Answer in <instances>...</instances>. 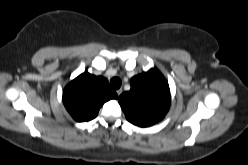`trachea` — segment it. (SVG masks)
<instances>
[{
    "instance_id": "trachea-1",
    "label": "trachea",
    "mask_w": 248,
    "mask_h": 165,
    "mask_svg": "<svg viewBox=\"0 0 248 165\" xmlns=\"http://www.w3.org/2000/svg\"><path fill=\"white\" fill-rule=\"evenodd\" d=\"M110 84L113 89H119L122 84V81L119 77H114L111 79Z\"/></svg>"
}]
</instances>
